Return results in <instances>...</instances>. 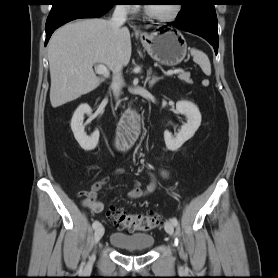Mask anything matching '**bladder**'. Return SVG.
<instances>
[{"mask_svg":"<svg viewBox=\"0 0 278 278\" xmlns=\"http://www.w3.org/2000/svg\"><path fill=\"white\" fill-rule=\"evenodd\" d=\"M109 241L113 247L129 251L148 250L155 243L154 236L144 232H114L110 235Z\"/></svg>","mask_w":278,"mask_h":278,"instance_id":"31cf9c89","label":"bladder"}]
</instances>
